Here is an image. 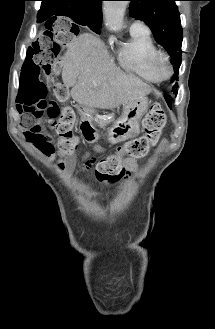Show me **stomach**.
<instances>
[{
    "instance_id": "obj_1",
    "label": "stomach",
    "mask_w": 215,
    "mask_h": 329,
    "mask_svg": "<svg viewBox=\"0 0 215 329\" xmlns=\"http://www.w3.org/2000/svg\"><path fill=\"white\" fill-rule=\"evenodd\" d=\"M148 109V99L145 96L138 97L124 104L122 116L107 131L108 141L118 144L136 137L140 132V120ZM77 110L83 118H93L95 111L88 106L78 105ZM99 135L95 133L92 142Z\"/></svg>"
}]
</instances>
